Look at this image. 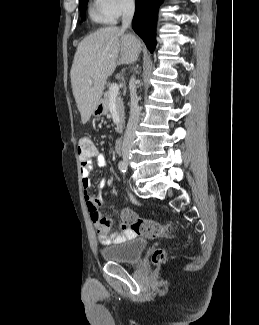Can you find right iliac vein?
Masks as SVG:
<instances>
[{
	"label": "right iliac vein",
	"instance_id": "obj_1",
	"mask_svg": "<svg viewBox=\"0 0 259 325\" xmlns=\"http://www.w3.org/2000/svg\"><path fill=\"white\" fill-rule=\"evenodd\" d=\"M123 159H124L125 162H128V161H129V156H128L127 153H125V154L123 155Z\"/></svg>",
	"mask_w": 259,
	"mask_h": 325
}]
</instances>
